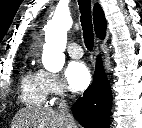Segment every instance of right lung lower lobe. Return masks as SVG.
Segmentation results:
<instances>
[{
    "label": "right lung lower lobe",
    "instance_id": "98d812e1",
    "mask_svg": "<svg viewBox=\"0 0 142 128\" xmlns=\"http://www.w3.org/2000/svg\"><path fill=\"white\" fill-rule=\"evenodd\" d=\"M111 104V89L98 57L92 86L76 101L72 112L84 128H110Z\"/></svg>",
    "mask_w": 142,
    "mask_h": 128
}]
</instances>
